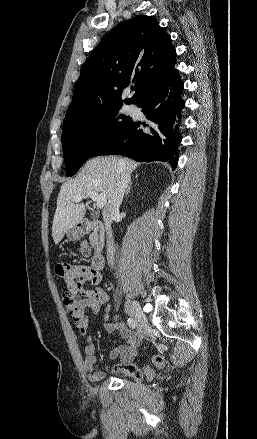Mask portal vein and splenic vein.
I'll use <instances>...</instances> for the list:
<instances>
[{
    "mask_svg": "<svg viewBox=\"0 0 257 439\" xmlns=\"http://www.w3.org/2000/svg\"><path fill=\"white\" fill-rule=\"evenodd\" d=\"M84 196H89L93 201H95L97 208H103L107 202L105 194H98L95 191H90L84 194H77L74 198V202H80Z\"/></svg>",
    "mask_w": 257,
    "mask_h": 439,
    "instance_id": "portal-vein-and-splenic-vein-1",
    "label": "portal vein and splenic vein"
}]
</instances>
